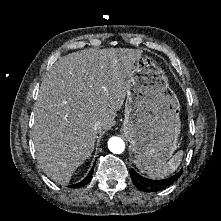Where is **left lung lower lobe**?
Returning <instances> with one entry per match:
<instances>
[{
    "label": "left lung lower lobe",
    "instance_id": "0a47b994",
    "mask_svg": "<svg viewBox=\"0 0 221 221\" xmlns=\"http://www.w3.org/2000/svg\"><path fill=\"white\" fill-rule=\"evenodd\" d=\"M182 171V170H181ZM181 171L175 174L174 176L164 179V180H150L142 177L139 175L136 171L130 170L131 178L134 182V184L137 186L138 189L146 192H156L159 191L170 184H172L174 181H176L180 175Z\"/></svg>",
    "mask_w": 221,
    "mask_h": 221
}]
</instances>
